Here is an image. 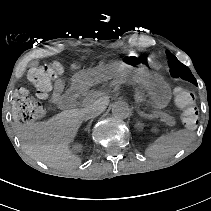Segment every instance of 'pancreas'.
<instances>
[{
    "instance_id": "1",
    "label": "pancreas",
    "mask_w": 211,
    "mask_h": 211,
    "mask_svg": "<svg viewBox=\"0 0 211 211\" xmlns=\"http://www.w3.org/2000/svg\"><path fill=\"white\" fill-rule=\"evenodd\" d=\"M136 99L141 101L142 97L136 93ZM156 118H160L162 121H165L168 125L170 126H174V118L171 117L169 114L165 113V112H159L157 114L154 115Z\"/></svg>"
}]
</instances>
